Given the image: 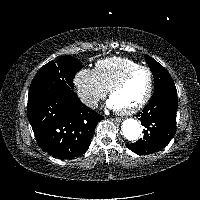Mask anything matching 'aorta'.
I'll list each match as a JSON object with an SVG mask.
<instances>
[{
    "label": "aorta",
    "mask_w": 200,
    "mask_h": 200,
    "mask_svg": "<svg viewBox=\"0 0 200 200\" xmlns=\"http://www.w3.org/2000/svg\"><path fill=\"white\" fill-rule=\"evenodd\" d=\"M122 132L128 141H136L141 134V127L137 120L129 118L122 123Z\"/></svg>",
    "instance_id": "1"
}]
</instances>
